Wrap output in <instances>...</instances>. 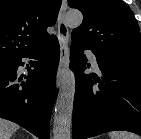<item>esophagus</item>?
Here are the masks:
<instances>
[{
    "mask_svg": "<svg viewBox=\"0 0 141 139\" xmlns=\"http://www.w3.org/2000/svg\"><path fill=\"white\" fill-rule=\"evenodd\" d=\"M68 7L67 0H62L61 8L58 15L57 26H58V39L60 44V61L56 76V85L59 88L65 75L68 72L69 65V29L65 22V14Z\"/></svg>",
    "mask_w": 141,
    "mask_h": 139,
    "instance_id": "1",
    "label": "esophagus"
}]
</instances>
